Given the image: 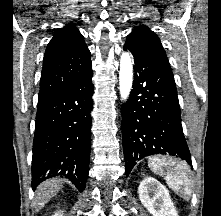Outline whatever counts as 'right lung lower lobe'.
<instances>
[{"mask_svg":"<svg viewBox=\"0 0 221 216\" xmlns=\"http://www.w3.org/2000/svg\"><path fill=\"white\" fill-rule=\"evenodd\" d=\"M93 72L38 102L32 159V188L68 175L80 192L86 185L91 151Z\"/></svg>","mask_w":221,"mask_h":216,"instance_id":"1","label":"right lung lower lobe"}]
</instances>
